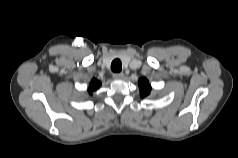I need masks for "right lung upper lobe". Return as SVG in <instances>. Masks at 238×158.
Returning a JSON list of instances; mask_svg holds the SVG:
<instances>
[{
    "label": "right lung upper lobe",
    "mask_w": 238,
    "mask_h": 158,
    "mask_svg": "<svg viewBox=\"0 0 238 158\" xmlns=\"http://www.w3.org/2000/svg\"><path fill=\"white\" fill-rule=\"evenodd\" d=\"M101 86V82L93 78L89 84V93L91 94V91L97 90Z\"/></svg>",
    "instance_id": "obj_1"
}]
</instances>
